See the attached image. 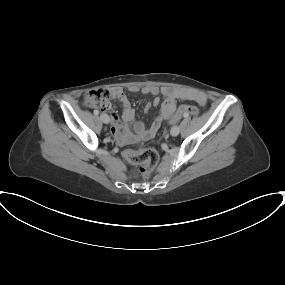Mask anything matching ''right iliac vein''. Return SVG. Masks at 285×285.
<instances>
[{
	"instance_id": "63e3f726",
	"label": "right iliac vein",
	"mask_w": 285,
	"mask_h": 285,
	"mask_svg": "<svg viewBox=\"0 0 285 285\" xmlns=\"http://www.w3.org/2000/svg\"><path fill=\"white\" fill-rule=\"evenodd\" d=\"M100 118H101L102 122L105 123V124H108L110 122L109 116L107 114H105V113H102L100 115Z\"/></svg>"
}]
</instances>
